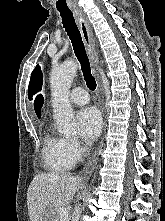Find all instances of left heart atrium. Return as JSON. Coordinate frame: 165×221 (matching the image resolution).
I'll return each instance as SVG.
<instances>
[{
  "label": "left heart atrium",
  "instance_id": "left-heart-atrium-1",
  "mask_svg": "<svg viewBox=\"0 0 165 221\" xmlns=\"http://www.w3.org/2000/svg\"><path fill=\"white\" fill-rule=\"evenodd\" d=\"M77 123L80 135L87 143L94 141L100 134L102 120L94 107H87L79 111Z\"/></svg>",
  "mask_w": 165,
  "mask_h": 221
}]
</instances>
